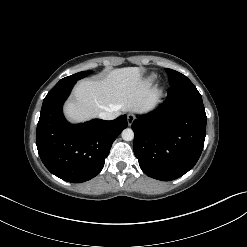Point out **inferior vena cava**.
Listing matches in <instances>:
<instances>
[{"instance_id":"602c4592","label":"inferior vena cava","mask_w":247,"mask_h":247,"mask_svg":"<svg viewBox=\"0 0 247 247\" xmlns=\"http://www.w3.org/2000/svg\"><path fill=\"white\" fill-rule=\"evenodd\" d=\"M98 117L103 120H113L117 117V115L111 111H104L99 113Z\"/></svg>"}]
</instances>
